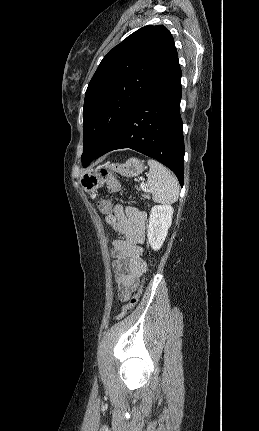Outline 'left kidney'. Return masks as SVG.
Segmentation results:
<instances>
[{"label": "left kidney", "mask_w": 259, "mask_h": 431, "mask_svg": "<svg viewBox=\"0 0 259 431\" xmlns=\"http://www.w3.org/2000/svg\"><path fill=\"white\" fill-rule=\"evenodd\" d=\"M173 208L170 205H155L151 209L147 237L153 250H159L172 223Z\"/></svg>", "instance_id": "1"}]
</instances>
